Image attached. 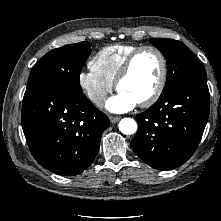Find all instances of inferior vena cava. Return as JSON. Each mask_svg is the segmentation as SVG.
Masks as SVG:
<instances>
[{
    "label": "inferior vena cava",
    "instance_id": "602c4592",
    "mask_svg": "<svg viewBox=\"0 0 221 221\" xmlns=\"http://www.w3.org/2000/svg\"><path fill=\"white\" fill-rule=\"evenodd\" d=\"M106 98V94H98L92 98V101L97 105H102Z\"/></svg>",
    "mask_w": 221,
    "mask_h": 221
}]
</instances>
